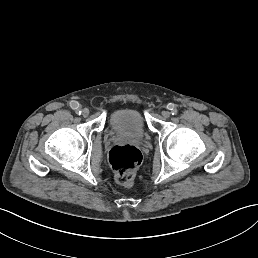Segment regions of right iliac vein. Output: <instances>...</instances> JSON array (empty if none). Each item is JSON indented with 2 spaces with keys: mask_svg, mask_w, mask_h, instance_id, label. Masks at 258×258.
Returning a JSON list of instances; mask_svg holds the SVG:
<instances>
[{
  "mask_svg": "<svg viewBox=\"0 0 258 258\" xmlns=\"http://www.w3.org/2000/svg\"><path fill=\"white\" fill-rule=\"evenodd\" d=\"M89 112H90V109L88 107H85L83 110H82V113H81V116L83 118H86L88 115H89Z\"/></svg>",
  "mask_w": 258,
  "mask_h": 258,
  "instance_id": "obj_1",
  "label": "right iliac vein"
}]
</instances>
